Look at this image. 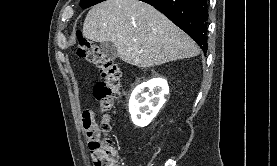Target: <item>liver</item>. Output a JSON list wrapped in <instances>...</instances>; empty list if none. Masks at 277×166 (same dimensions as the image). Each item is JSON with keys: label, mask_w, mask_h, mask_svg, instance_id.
<instances>
[{"label": "liver", "mask_w": 277, "mask_h": 166, "mask_svg": "<svg viewBox=\"0 0 277 166\" xmlns=\"http://www.w3.org/2000/svg\"><path fill=\"white\" fill-rule=\"evenodd\" d=\"M85 38L112 42L120 59L138 67H153L199 55L185 32L154 7L139 0H106L91 8Z\"/></svg>", "instance_id": "1"}]
</instances>
